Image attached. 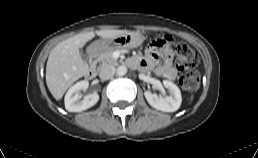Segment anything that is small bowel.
<instances>
[{
	"instance_id": "small-bowel-1",
	"label": "small bowel",
	"mask_w": 258,
	"mask_h": 158,
	"mask_svg": "<svg viewBox=\"0 0 258 158\" xmlns=\"http://www.w3.org/2000/svg\"><path fill=\"white\" fill-rule=\"evenodd\" d=\"M128 65L141 71L153 70L156 75L171 81L177 77V70L173 65V53L168 45L160 49L149 47L144 56L130 58Z\"/></svg>"
}]
</instances>
